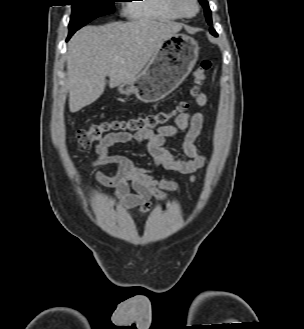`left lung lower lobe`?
<instances>
[{
  "label": "left lung lower lobe",
  "mask_w": 304,
  "mask_h": 329,
  "mask_svg": "<svg viewBox=\"0 0 304 329\" xmlns=\"http://www.w3.org/2000/svg\"><path fill=\"white\" fill-rule=\"evenodd\" d=\"M211 34H213L214 36H217L215 30L211 31Z\"/></svg>",
  "instance_id": "obj_1"
}]
</instances>
